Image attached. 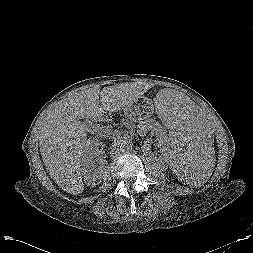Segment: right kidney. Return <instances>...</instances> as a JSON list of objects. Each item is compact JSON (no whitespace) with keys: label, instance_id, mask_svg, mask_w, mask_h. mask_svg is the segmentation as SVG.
<instances>
[{"label":"right kidney","instance_id":"right-kidney-1","mask_svg":"<svg viewBox=\"0 0 253 253\" xmlns=\"http://www.w3.org/2000/svg\"><path fill=\"white\" fill-rule=\"evenodd\" d=\"M100 142L96 138H90L86 141L84 147V153L81 158V174L83 176L84 182L87 186L95 187L100 181L101 176L94 173L92 170L94 168L96 157L102 152L99 149Z\"/></svg>","mask_w":253,"mask_h":253}]
</instances>
